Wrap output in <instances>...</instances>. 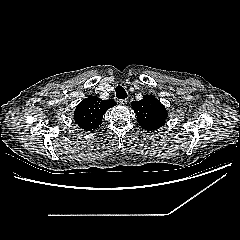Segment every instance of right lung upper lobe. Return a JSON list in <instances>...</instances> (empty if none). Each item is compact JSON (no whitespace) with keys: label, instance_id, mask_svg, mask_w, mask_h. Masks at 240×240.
<instances>
[{"label":"right lung upper lobe","instance_id":"cb5924a9","mask_svg":"<svg viewBox=\"0 0 240 240\" xmlns=\"http://www.w3.org/2000/svg\"><path fill=\"white\" fill-rule=\"evenodd\" d=\"M116 105L112 99L102 100L96 96L84 99L75 109L74 120L78 126L86 131L96 129L102 123L107 109Z\"/></svg>","mask_w":240,"mask_h":240}]
</instances>
